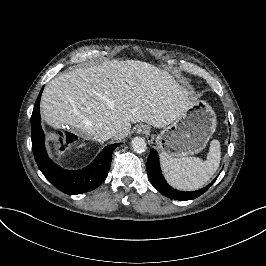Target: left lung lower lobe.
<instances>
[{
    "mask_svg": "<svg viewBox=\"0 0 266 266\" xmlns=\"http://www.w3.org/2000/svg\"><path fill=\"white\" fill-rule=\"evenodd\" d=\"M147 173L152 185L163 195L175 200H191L199 197L206 192L209 187L215 182L216 178L205 188H202L193 192L178 191L170 187L165 181L159 164V156L153 149L150 151V155L147 160Z\"/></svg>",
    "mask_w": 266,
    "mask_h": 266,
    "instance_id": "1",
    "label": "left lung lower lobe"
}]
</instances>
